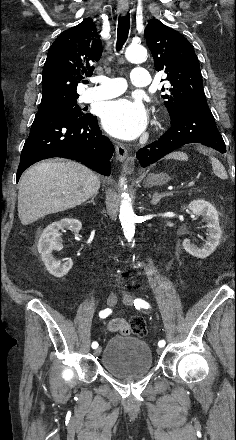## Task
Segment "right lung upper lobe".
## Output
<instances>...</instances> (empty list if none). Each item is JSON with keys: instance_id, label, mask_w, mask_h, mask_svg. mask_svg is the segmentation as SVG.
<instances>
[{"instance_id": "right-lung-upper-lobe-1", "label": "right lung upper lobe", "mask_w": 236, "mask_h": 440, "mask_svg": "<svg viewBox=\"0 0 236 440\" xmlns=\"http://www.w3.org/2000/svg\"><path fill=\"white\" fill-rule=\"evenodd\" d=\"M102 44L92 19L63 31L51 45L42 76L39 107L76 101L77 85L93 74Z\"/></svg>"}]
</instances>
